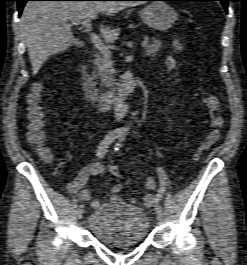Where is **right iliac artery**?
I'll return each mask as SVG.
<instances>
[{
    "instance_id": "right-iliac-artery-1",
    "label": "right iliac artery",
    "mask_w": 247,
    "mask_h": 265,
    "mask_svg": "<svg viewBox=\"0 0 247 265\" xmlns=\"http://www.w3.org/2000/svg\"><path fill=\"white\" fill-rule=\"evenodd\" d=\"M120 136V133H118L117 131H111L109 134H107L103 140L100 142L98 149H97V156L99 158H103L105 153L107 152V149L109 147V145ZM99 205V203L97 201H93L91 203V206L93 208L97 207Z\"/></svg>"
}]
</instances>
